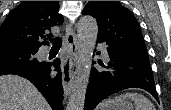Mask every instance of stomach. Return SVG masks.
<instances>
[{"mask_svg":"<svg viewBox=\"0 0 171 110\" xmlns=\"http://www.w3.org/2000/svg\"><path fill=\"white\" fill-rule=\"evenodd\" d=\"M113 110H133V105L130 101L124 99L121 101L116 102L113 105Z\"/></svg>","mask_w":171,"mask_h":110,"instance_id":"0dacf381","label":"stomach"}]
</instances>
